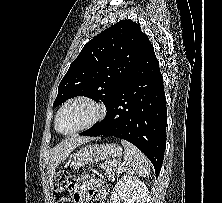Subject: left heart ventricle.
<instances>
[{"instance_id":"1","label":"left heart ventricle","mask_w":222,"mask_h":203,"mask_svg":"<svg viewBox=\"0 0 222 203\" xmlns=\"http://www.w3.org/2000/svg\"><path fill=\"white\" fill-rule=\"evenodd\" d=\"M95 115L96 110L90 104L72 103L63 110L59 118V128L64 132L73 131L90 122Z\"/></svg>"}]
</instances>
